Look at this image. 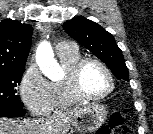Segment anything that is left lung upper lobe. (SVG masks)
Segmentation results:
<instances>
[{
	"label": "left lung upper lobe",
	"mask_w": 153,
	"mask_h": 134,
	"mask_svg": "<svg viewBox=\"0 0 153 134\" xmlns=\"http://www.w3.org/2000/svg\"><path fill=\"white\" fill-rule=\"evenodd\" d=\"M63 28L70 37L102 60L118 79L129 81L122 52L109 32L81 16L64 22Z\"/></svg>",
	"instance_id": "1"
}]
</instances>
